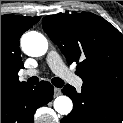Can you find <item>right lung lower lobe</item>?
<instances>
[{
  "instance_id": "obj_1",
  "label": "right lung lower lobe",
  "mask_w": 123,
  "mask_h": 123,
  "mask_svg": "<svg viewBox=\"0 0 123 123\" xmlns=\"http://www.w3.org/2000/svg\"><path fill=\"white\" fill-rule=\"evenodd\" d=\"M53 86L41 81L14 93H1V123H33L34 113L53 99Z\"/></svg>"
}]
</instances>
